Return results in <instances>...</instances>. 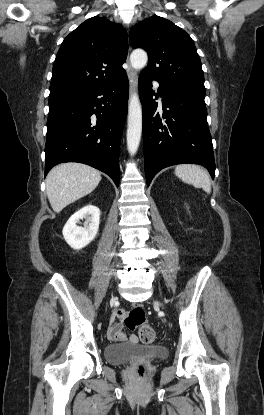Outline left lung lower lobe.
<instances>
[{"label": "left lung lower lobe", "mask_w": 264, "mask_h": 415, "mask_svg": "<svg viewBox=\"0 0 264 415\" xmlns=\"http://www.w3.org/2000/svg\"><path fill=\"white\" fill-rule=\"evenodd\" d=\"M153 79L140 74L138 83L147 185L161 169L183 163L200 164L214 178L215 161L207 124L205 89L159 82L162 109H158L155 102L158 96L152 90Z\"/></svg>", "instance_id": "1"}]
</instances>
